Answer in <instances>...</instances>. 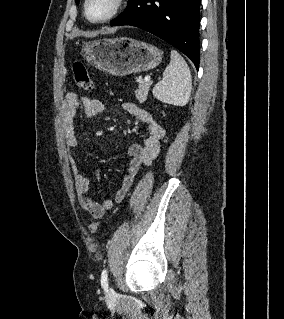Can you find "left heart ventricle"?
Masks as SVG:
<instances>
[{
  "mask_svg": "<svg viewBox=\"0 0 284 319\" xmlns=\"http://www.w3.org/2000/svg\"><path fill=\"white\" fill-rule=\"evenodd\" d=\"M114 0H90L88 14L92 19L104 18L112 9Z\"/></svg>",
  "mask_w": 284,
  "mask_h": 319,
  "instance_id": "left-heart-ventricle-1",
  "label": "left heart ventricle"
}]
</instances>
